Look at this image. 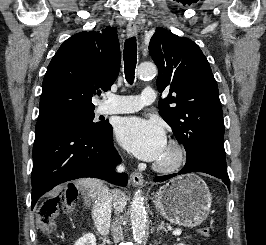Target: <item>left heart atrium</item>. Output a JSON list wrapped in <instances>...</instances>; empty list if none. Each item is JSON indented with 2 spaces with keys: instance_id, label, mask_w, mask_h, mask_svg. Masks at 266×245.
Returning <instances> with one entry per match:
<instances>
[{
  "instance_id": "1",
  "label": "left heart atrium",
  "mask_w": 266,
  "mask_h": 245,
  "mask_svg": "<svg viewBox=\"0 0 266 245\" xmlns=\"http://www.w3.org/2000/svg\"><path fill=\"white\" fill-rule=\"evenodd\" d=\"M115 132L124 148L145 161H157L167 145L165 131L155 120L121 118L115 125Z\"/></svg>"
}]
</instances>
